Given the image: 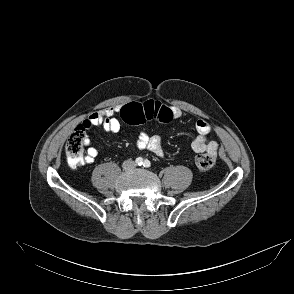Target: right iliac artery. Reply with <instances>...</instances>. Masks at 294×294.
<instances>
[{"label":"right iliac artery","mask_w":294,"mask_h":294,"mask_svg":"<svg viewBox=\"0 0 294 294\" xmlns=\"http://www.w3.org/2000/svg\"><path fill=\"white\" fill-rule=\"evenodd\" d=\"M136 164L139 165V166H141L143 164V159L141 157H138L136 159Z\"/></svg>","instance_id":"82829eb1"}]
</instances>
